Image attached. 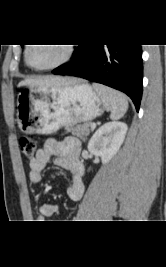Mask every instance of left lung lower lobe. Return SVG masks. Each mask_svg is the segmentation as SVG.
<instances>
[{"instance_id": "0a47b994", "label": "left lung lower lobe", "mask_w": 166, "mask_h": 267, "mask_svg": "<svg viewBox=\"0 0 166 267\" xmlns=\"http://www.w3.org/2000/svg\"><path fill=\"white\" fill-rule=\"evenodd\" d=\"M52 73L73 75L120 90L139 111L143 79L141 45H79L72 61Z\"/></svg>"}]
</instances>
